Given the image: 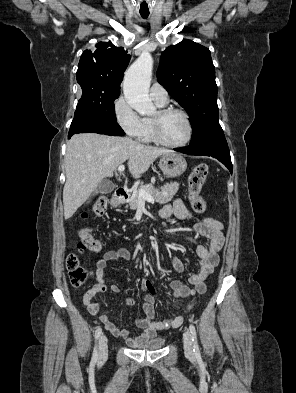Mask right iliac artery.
<instances>
[{
	"instance_id": "1",
	"label": "right iliac artery",
	"mask_w": 296,
	"mask_h": 393,
	"mask_svg": "<svg viewBox=\"0 0 296 393\" xmlns=\"http://www.w3.org/2000/svg\"><path fill=\"white\" fill-rule=\"evenodd\" d=\"M101 333H102V329L99 327L95 331V340H96V342L99 339ZM97 359H98V349H97V344H96L95 347H94V350H93L91 364L94 365L97 362Z\"/></svg>"
}]
</instances>
